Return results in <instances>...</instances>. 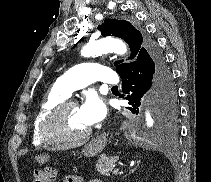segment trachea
<instances>
[{
	"label": "trachea",
	"instance_id": "1",
	"mask_svg": "<svg viewBox=\"0 0 211 182\" xmlns=\"http://www.w3.org/2000/svg\"><path fill=\"white\" fill-rule=\"evenodd\" d=\"M112 88H113V89H118V87H117V86H113Z\"/></svg>",
	"mask_w": 211,
	"mask_h": 182
}]
</instances>
